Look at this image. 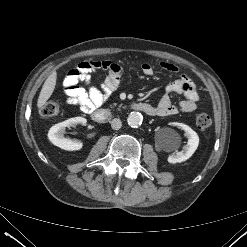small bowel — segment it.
Instances as JSON below:
<instances>
[{"label": "small bowel", "mask_w": 247, "mask_h": 247, "mask_svg": "<svg viewBox=\"0 0 247 247\" xmlns=\"http://www.w3.org/2000/svg\"><path fill=\"white\" fill-rule=\"evenodd\" d=\"M162 69L169 73H178L176 65L169 62H161ZM97 71H105L106 76L99 86L91 84L92 74ZM141 71L146 76L154 74V67L150 63H143ZM122 68L112 61H84L72 69L64 79L63 88L67 103L79 107L83 112H92L100 107L108 97L118 88L121 80ZM83 83L86 87L80 86ZM178 93L184 99L175 105L171 101V94ZM199 93L187 75L169 82L165 87V93L159 100L156 108V116L166 117L181 112H193L197 108Z\"/></svg>", "instance_id": "obj_1"}]
</instances>
